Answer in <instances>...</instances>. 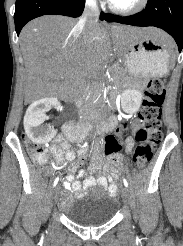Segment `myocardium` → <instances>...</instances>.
Listing matches in <instances>:
<instances>
[{"label":"myocardium","mask_w":183,"mask_h":246,"mask_svg":"<svg viewBox=\"0 0 183 246\" xmlns=\"http://www.w3.org/2000/svg\"><path fill=\"white\" fill-rule=\"evenodd\" d=\"M148 3V0H137V2L130 7H120L114 4L112 1H109L108 7L114 13L120 15H133L142 11Z\"/></svg>","instance_id":"1"}]
</instances>
